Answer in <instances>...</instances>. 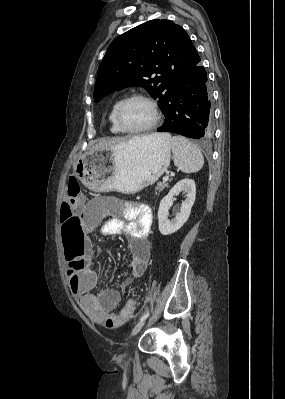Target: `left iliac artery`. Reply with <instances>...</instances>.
Masks as SVG:
<instances>
[{
	"label": "left iliac artery",
	"mask_w": 285,
	"mask_h": 399,
	"mask_svg": "<svg viewBox=\"0 0 285 399\" xmlns=\"http://www.w3.org/2000/svg\"><path fill=\"white\" fill-rule=\"evenodd\" d=\"M149 313H150V311L148 310V311H146L142 316H141V318H140V321H142V320H144V319H146L148 316H149Z\"/></svg>",
	"instance_id": "44dca946"
}]
</instances>
